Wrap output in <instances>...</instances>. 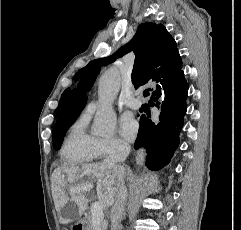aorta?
<instances>
[{
    "label": "aorta",
    "mask_w": 241,
    "mask_h": 230,
    "mask_svg": "<svg viewBox=\"0 0 241 230\" xmlns=\"http://www.w3.org/2000/svg\"><path fill=\"white\" fill-rule=\"evenodd\" d=\"M120 85V73L117 68H110L100 77L98 83L99 107L94 118L92 134L104 137H110L114 134L116 114L112 103L119 92ZM144 156V151L137 154V164L143 163Z\"/></svg>",
    "instance_id": "762f6f07"
}]
</instances>
